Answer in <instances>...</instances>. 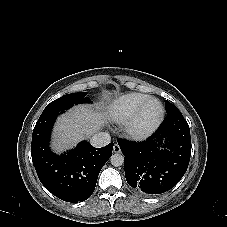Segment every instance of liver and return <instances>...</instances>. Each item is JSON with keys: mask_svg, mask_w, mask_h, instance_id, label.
Instances as JSON below:
<instances>
[{"mask_svg": "<svg viewBox=\"0 0 227 227\" xmlns=\"http://www.w3.org/2000/svg\"><path fill=\"white\" fill-rule=\"evenodd\" d=\"M106 124L105 114L89 106L75 107L62 115L54 128L53 148L57 152L71 148Z\"/></svg>", "mask_w": 227, "mask_h": 227, "instance_id": "liver-1", "label": "liver"}]
</instances>
